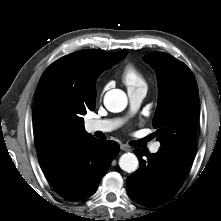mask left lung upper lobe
I'll return each mask as SVG.
<instances>
[{
  "instance_id": "obj_1",
  "label": "left lung upper lobe",
  "mask_w": 221,
  "mask_h": 221,
  "mask_svg": "<svg viewBox=\"0 0 221 221\" xmlns=\"http://www.w3.org/2000/svg\"><path fill=\"white\" fill-rule=\"evenodd\" d=\"M144 59L156 69L159 81L158 107L153 118L161 147L193 155L199 118V93L191 70L166 53Z\"/></svg>"
}]
</instances>
